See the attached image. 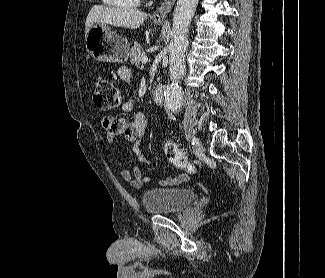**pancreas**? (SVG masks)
<instances>
[{"label": "pancreas", "instance_id": "obj_1", "mask_svg": "<svg viewBox=\"0 0 325 278\" xmlns=\"http://www.w3.org/2000/svg\"><path fill=\"white\" fill-rule=\"evenodd\" d=\"M145 56V53L142 49V46L135 42L130 49V63L139 67L142 57Z\"/></svg>", "mask_w": 325, "mask_h": 278}]
</instances>
